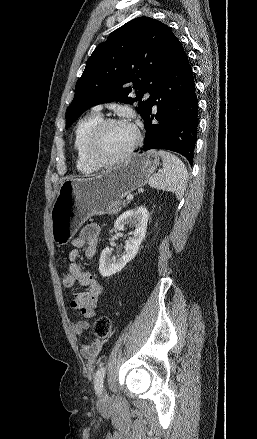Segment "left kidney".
Here are the masks:
<instances>
[{"label": "left kidney", "instance_id": "1", "mask_svg": "<svg viewBox=\"0 0 257 439\" xmlns=\"http://www.w3.org/2000/svg\"><path fill=\"white\" fill-rule=\"evenodd\" d=\"M149 213L145 207H139L136 210H128L121 214L114 223V229L110 231H123L125 225L129 224L135 227L130 237L126 241L125 253L116 258L112 256V250L106 247L99 259V271L103 277H110L111 275L120 272L128 262L133 260L138 253L139 247L145 238Z\"/></svg>", "mask_w": 257, "mask_h": 439}]
</instances>
